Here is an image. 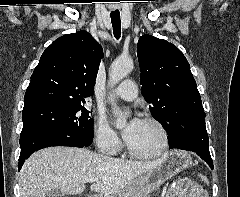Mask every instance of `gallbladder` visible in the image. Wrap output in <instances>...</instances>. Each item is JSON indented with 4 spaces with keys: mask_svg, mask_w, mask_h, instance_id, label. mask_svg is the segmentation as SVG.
<instances>
[{
    "mask_svg": "<svg viewBox=\"0 0 240 197\" xmlns=\"http://www.w3.org/2000/svg\"><path fill=\"white\" fill-rule=\"evenodd\" d=\"M46 196L47 197H63V194L58 189H53L49 191Z\"/></svg>",
    "mask_w": 240,
    "mask_h": 197,
    "instance_id": "obj_1",
    "label": "gallbladder"
}]
</instances>
